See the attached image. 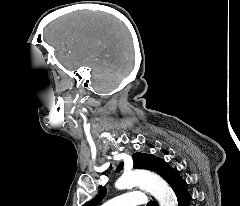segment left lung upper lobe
Returning a JSON list of instances; mask_svg holds the SVG:
<instances>
[{
    "label": "left lung upper lobe",
    "instance_id": "left-lung-upper-lobe-1",
    "mask_svg": "<svg viewBox=\"0 0 240 206\" xmlns=\"http://www.w3.org/2000/svg\"><path fill=\"white\" fill-rule=\"evenodd\" d=\"M133 161H134V168L135 169H147L154 172H157L160 176H164L166 170L169 168V166L159 160L158 158L154 157L153 155H147L142 153H135L133 154ZM123 163L118 168L119 170L122 168ZM105 187H102L97 196L92 199L91 201L84 204V206H97L100 201L105 196Z\"/></svg>",
    "mask_w": 240,
    "mask_h": 206
}]
</instances>
